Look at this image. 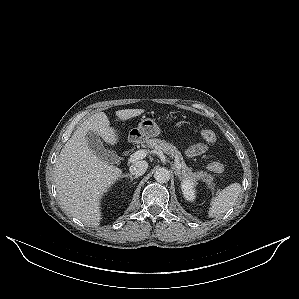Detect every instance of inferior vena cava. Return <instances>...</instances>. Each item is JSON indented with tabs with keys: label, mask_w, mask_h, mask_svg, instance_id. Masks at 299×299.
I'll use <instances>...</instances> for the list:
<instances>
[{
	"label": "inferior vena cava",
	"mask_w": 299,
	"mask_h": 299,
	"mask_svg": "<svg viewBox=\"0 0 299 299\" xmlns=\"http://www.w3.org/2000/svg\"><path fill=\"white\" fill-rule=\"evenodd\" d=\"M148 168V163L144 160L136 161L130 166V173L135 176H142Z\"/></svg>",
	"instance_id": "obj_1"
}]
</instances>
